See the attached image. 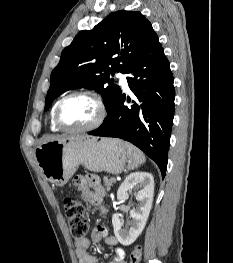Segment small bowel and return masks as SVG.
<instances>
[{
  "instance_id": "obj_1",
  "label": "small bowel",
  "mask_w": 233,
  "mask_h": 263,
  "mask_svg": "<svg viewBox=\"0 0 233 263\" xmlns=\"http://www.w3.org/2000/svg\"><path fill=\"white\" fill-rule=\"evenodd\" d=\"M74 185L81 191L85 200L94 207L99 208L102 214L106 210L102 206V200L105 190L96 175H85L76 177ZM104 241L107 245L113 247L114 258L109 263H127L125 260V251L118 246V240L114 236H110L105 227L99 226L92 232L91 239L83 238L75 242V252L79 263H99L98 259L89 253L91 244Z\"/></svg>"
}]
</instances>
